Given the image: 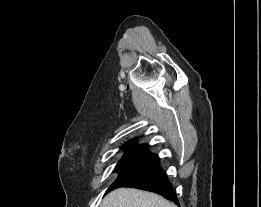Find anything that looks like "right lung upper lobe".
Wrapping results in <instances>:
<instances>
[{
  "label": "right lung upper lobe",
  "mask_w": 261,
  "mask_h": 207,
  "mask_svg": "<svg viewBox=\"0 0 261 207\" xmlns=\"http://www.w3.org/2000/svg\"><path fill=\"white\" fill-rule=\"evenodd\" d=\"M137 143V139H132L128 141L124 148L127 150L120 161H132V160H142V161H156L159 163V158L157 155L148 153L146 148L147 144H141L134 146Z\"/></svg>",
  "instance_id": "right-lung-upper-lobe-1"
}]
</instances>
